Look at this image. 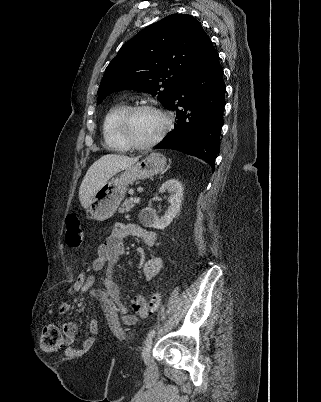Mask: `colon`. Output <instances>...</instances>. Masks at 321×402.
<instances>
[{
  "label": "colon",
  "instance_id": "obj_1",
  "mask_svg": "<svg viewBox=\"0 0 321 402\" xmlns=\"http://www.w3.org/2000/svg\"><path fill=\"white\" fill-rule=\"evenodd\" d=\"M66 234L65 241L69 248L73 250H79L82 247L84 241V233L81 228V222L76 214H68L65 219ZM74 285L71 286L70 293L83 294L86 277L84 274H77L75 277ZM161 302L160 293H154L149 303L140 301L134 305V310L139 314H146L148 309L155 311L159 308ZM63 345V335L60 329L53 324L47 325L40 338V348L45 352H53L60 349Z\"/></svg>",
  "mask_w": 321,
  "mask_h": 402
}]
</instances>
